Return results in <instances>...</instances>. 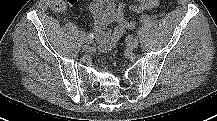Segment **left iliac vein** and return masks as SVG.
<instances>
[{"instance_id": "left-iliac-vein-1", "label": "left iliac vein", "mask_w": 217, "mask_h": 121, "mask_svg": "<svg viewBox=\"0 0 217 121\" xmlns=\"http://www.w3.org/2000/svg\"><path fill=\"white\" fill-rule=\"evenodd\" d=\"M127 48L133 50L138 46V40L136 38L130 37L127 39Z\"/></svg>"}]
</instances>
